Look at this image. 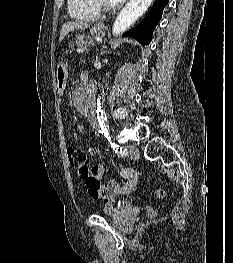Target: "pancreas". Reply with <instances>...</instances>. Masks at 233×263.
Returning <instances> with one entry per match:
<instances>
[{
	"mask_svg": "<svg viewBox=\"0 0 233 263\" xmlns=\"http://www.w3.org/2000/svg\"><path fill=\"white\" fill-rule=\"evenodd\" d=\"M79 48H82L84 50H87L89 48L90 45H94V41L91 39H81L78 43H77Z\"/></svg>",
	"mask_w": 233,
	"mask_h": 263,
	"instance_id": "obj_1",
	"label": "pancreas"
}]
</instances>
